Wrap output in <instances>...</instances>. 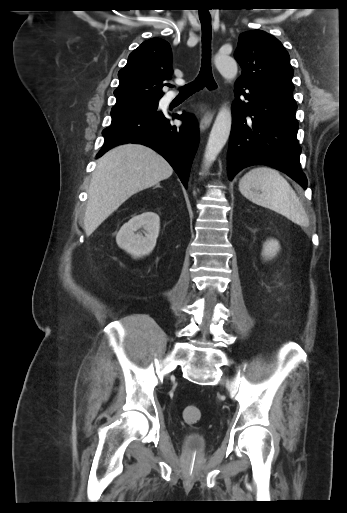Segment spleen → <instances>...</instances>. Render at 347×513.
<instances>
[{"mask_svg": "<svg viewBox=\"0 0 347 513\" xmlns=\"http://www.w3.org/2000/svg\"><path fill=\"white\" fill-rule=\"evenodd\" d=\"M239 190L251 202L273 210L301 226L309 223L295 191L277 170L269 167L250 170L239 181Z\"/></svg>", "mask_w": 347, "mask_h": 513, "instance_id": "spleen-1", "label": "spleen"}]
</instances>
